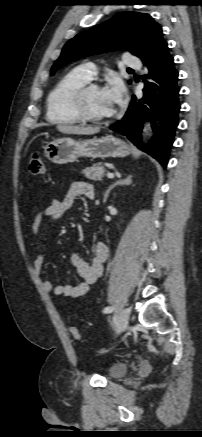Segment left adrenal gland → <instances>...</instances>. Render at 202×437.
Listing matches in <instances>:
<instances>
[{
	"label": "left adrenal gland",
	"instance_id": "obj_1",
	"mask_svg": "<svg viewBox=\"0 0 202 437\" xmlns=\"http://www.w3.org/2000/svg\"><path fill=\"white\" fill-rule=\"evenodd\" d=\"M132 184V175H129L127 178L125 179H120L118 181H116L115 183H113L112 185H110L108 187V189L106 190L105 194H104V202H106L110 191L117 185H130Z\"/></svg>",
	"mask_w": 202,
	"mask_h": 437
}]
</instances>
